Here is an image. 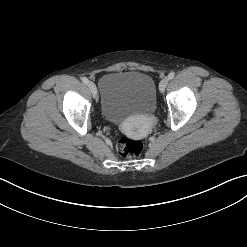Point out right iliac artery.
<instances>
[{"instance_id":"82829eb1","label":"right iliac artery","mask_w":247,"mask_h":247,"mask_svg":"<svg viewBox=\"0 0 247 247\" xmlns=\"http://www.w3.org/2000/svg\"><path fill=\"white\" fill-rule=\"evenodd\" d=\"M81 80L85 84H88L89 83V80L86 77H82Z\"/></svg>"}]
</instances>
